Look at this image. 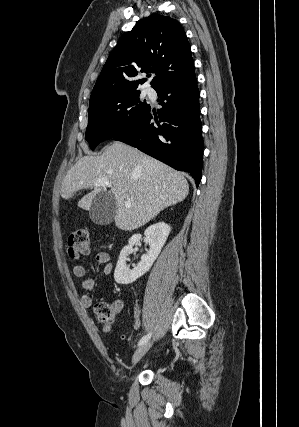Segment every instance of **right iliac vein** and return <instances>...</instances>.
Instances as JSON below:
<instances>
[{
  "label": "right iliac vein",
  "mask_w": 299,
  "mask_h": 427,
  "mask_svg": "<svg viewBox=\"0 0 299 427\" xmlns=\"http://www.w3.org/2000/svg\"><path fill=\"white\" fill-rule=\"evenodd\" d=\"M152 346V342H146L141 345L134 353L132 358L133 366L149 351Z\"/></svg>",
  "instance_id": "63e3f726"
}]
</instances>
